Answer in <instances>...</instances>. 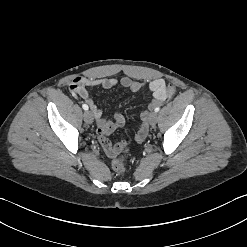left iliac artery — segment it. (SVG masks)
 <instances>
[{"mask_svg": "<svg viewBox=\"0 0 247 247\" xmlns=\"http://www.w3.org/2000/svg\"><path fill=\"white\" fill-rule=\"evenodd\" d=\"M159 110H160V108L159 107H156L154 111L155 112H158Z\"/></svg>", "mask_w": 247, "mask_h": 247, "instance_id": "1", "label": "left iliac artery"}]
</instances>
